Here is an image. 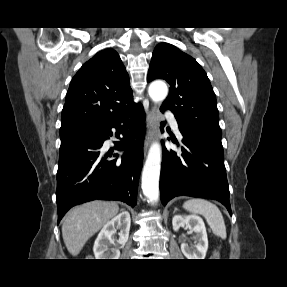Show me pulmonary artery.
I'll return each instance as SVG.
<instances>
[{
    "label": "pulmonary artery",
    "instance_id": "obj_1",
    "mask_svg": "<svg viewBox=\"0 0 287 287\" xmlns=\"http://www.w3.org/2000/svg\"><path fill=\"white\" fill-rule=\"evenodd\" d=\"M171 126H172L173 130H174L178 135H180L179 128H178V123H177L176 119L173 118V117H171Z\"/></svg>",
    "mask_w": 287,
    "mask_h": 287
}]
</instances>
